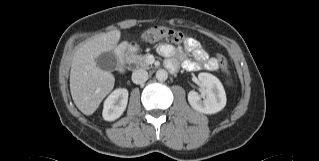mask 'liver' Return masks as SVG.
Wrapping results in <instances>:
<instances>
[{
    "mask_svg": "<svg viewBox=\"0 0 319 161\" xmlns=\"http://www.w3.org/2000/svg\"><path fill=\"white\" fill-rule=\"evenodd\" d=\"M120 37L119 30L99 34L80 46L73 56L70 91L75 105L85 115L93 114L114 87V76L100 69L96 65V58L112 51Z\"/></svg>",
    "mask_w": 319,
    "mask_h": 161,
    "instance_id": "liver-1",
    "label": "liver"
}]
</instances>
